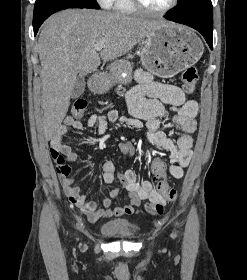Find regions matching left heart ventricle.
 Returning a JSON list of instances; mask_svg holds the SVG:
<instances>
[{
    "instance_id": "1",
    "label": "left heart ventricle",
    "mask_w": 247,
    "mask_h": 280,
    "mask_svg": "<svg viewBox=\"0 0 247 280\" xmlns=\"http://www.w3.org/2000/svg\"><path fill=\"white\" fill-rule=\"evenodd\" d=\"M142 2L151 9L159 10L167 7L171 0H142Z\"/></svg>"
}]
</instances>
